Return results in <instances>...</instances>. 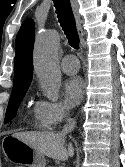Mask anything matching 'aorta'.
<instances>
[{"instance_id":"1","label":"aorta","mask_w":125,"mask_h":167,"mask_svg":"<svg viewBox=\"0 0 125 167\" xmlns=\"http://www.w3.org/2000/svg\"><path fill=\"white\" fill-rule=\"evenodd\" d=\"M60 36L56 30L40 32L34 45V67L44 96L57 101L61 86L58 64Z\"/></svg>"}]
</instances>
